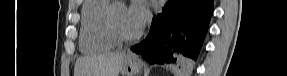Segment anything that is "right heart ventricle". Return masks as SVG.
Returning a JSON list of instances; mask_svg holds the SVG:
<instances>
[{
    "label": "right heart ventricle",
    "instance_id": "obj_1",
    "mask_svg": "<svg viewBox=\"0 0 287 76\" xmlns=\"http://www.w3.org/2000/svg\"><path fill=\"white\" fill-rule=\"evenodd\" d=\"M110 0H86L81 9L80 48L83 52H102L113 48L116 40L106 27Z\"/></svg>",
    "mask_w": 287,
    "mask_h": 76
}]
</instances>
